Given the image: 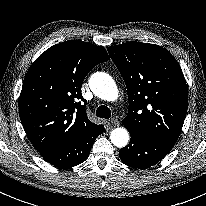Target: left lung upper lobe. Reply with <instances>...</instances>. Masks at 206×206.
Masks as SVG:
<instances>
[{"label": "left lung upper lobe", "instance_id": "1", "mask_svg": "<svg viewBox=\"0 0 206 206\" xmlns=\"http://www.w3.org/2000/svg\"><path fill=\"white\" fill-rule=\"evenodd\" d=\"M108 52L127 87L126 129L176 143L188 108V88L176 59L161 46L134 41Z\"/></svg>", "mask_w": 206, "mask_h": 206}]
</instances>
